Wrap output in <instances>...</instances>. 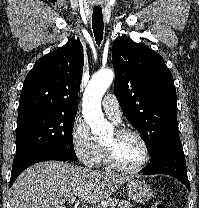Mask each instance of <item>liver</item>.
Returning a JSON list of instances; mask_svg holds the SVG:
<instances>
[{"instance_id":"1","label":"liver","mask_w":199,"mask_h":208,"mask_svg":"<svg viewBox=\"0 0 199 208\" xmlns=\"http://www.w3.org/2000/svg\"><path fill=\"white\" fill-rule=\"evenodd\" d=\"M129 177L46 161L27 168L11 189V208H66L64 203L78 197L94 204L108 198Z\"/></svg>"}]
</instances>
